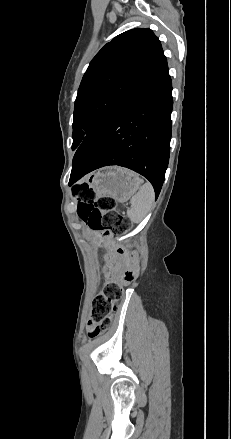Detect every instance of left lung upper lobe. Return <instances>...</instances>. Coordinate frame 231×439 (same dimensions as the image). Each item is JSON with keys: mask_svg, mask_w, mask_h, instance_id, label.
Returning a JSON list of instances; mask_svg holds the SVG:
<instances>
[{"mask_svg": "<svg viewBox=\"0 0 231 439\" xmlns=\"http://www.w3.org/2000/svg\"><path fill=\"white\" fill-rule=\"evenodd\" d=\"M165 60L159 39L148 28L126 31L107 43L90 62L78 89L72 149Z\"/></svg>", "mask_w": 231, "mask_h": 439, "instance_id": "1", "label": "left lung upper lobe"}]
</instances>
